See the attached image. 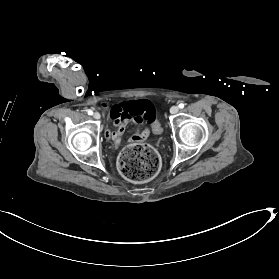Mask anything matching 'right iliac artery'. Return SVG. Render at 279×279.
<instances>
[{
	"label": "right iliac artery",
	"mask_w": 279,
	"mask_h": 279,
	"mask_svg": "<svg viewBox=\"0 0 279 279\" xmlns=\"http://www.w3.org/2000/svg\"><path fill=\"white\" fill-rule=\"evenodd\" d=\"M88 115H92L93 114V111L92 110H88Z\"/></svg>",
	"instance_id": "1"
}]
</instances>
